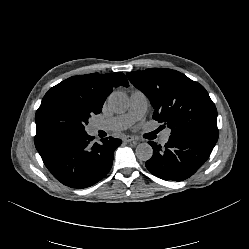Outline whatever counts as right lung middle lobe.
I'll return each mask as SVG.
<instances>
[{
    "label": "right lung middle lobe",
    "mask_w": 249,
    "mask_h": 249,
    "mask_svg": "<svg viewBox=\"0 0 249 249\" xmlns=\"http://www.w3.org/2000/svg\"><path fill=\"white\" fill-rule=\"evenodd\" d=\"M94 112L75 98H57L43 105L35 116L38 131L48 139L86 133L85 126Z\"/></svg>",
    "instance_id": "right-lung-middle-lobe-1"
}]
</instances>
